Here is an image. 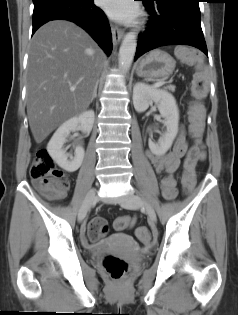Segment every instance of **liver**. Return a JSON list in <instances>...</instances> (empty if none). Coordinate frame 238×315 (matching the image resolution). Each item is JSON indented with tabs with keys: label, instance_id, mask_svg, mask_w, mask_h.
<instances>
[{
	"label": "liver",
	"instance_id": "6515ba94",
	"mask_svg": "<svg viewBox=\"0 0 238 315\" xmlns=\"http://www.w3.org/2000/svg\"><path fill=\"white\" fill-rule=\"evenodd\" d=\"M103 62L101 49L74 23L55 20L38 29L27 65V115L36 143L88 108Z\"/></svg>",
	"mask_w": 238,
	"mask_h": 315
}]
</instances>
